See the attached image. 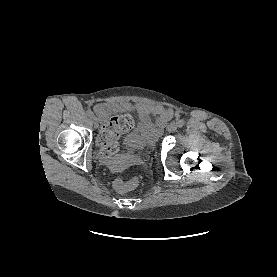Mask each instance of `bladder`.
I'll return each mask as SVG.
<instances>
[{
    "mask_svg": "<svg viewBox=\"0 0 277 277\" xmlns=\"http://www.w3.org/2000/svg\"><path fill=\"white\" fill-rule=\"evenodd\" d=\"M158 136L159 134L151 122L142 121L135 130L125 136V148L133 151L142 150L149 143L155 142Z\"/></svg>",
    "mask_w": 277,
    "mask_h": 277,
    "instance_id": "obj_1",
    "label": "bladder"
}]
</instances>
